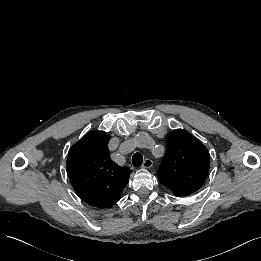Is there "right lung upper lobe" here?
Segmentation results:
<instances>
[{"mask_svg": "<svg viewBox=\"0 0 261 261\" xmlns=\"http://www.w3.org/2000/svg\"><path fill=\"white\" fill-rule=\"evenodd\" d=\"M110 136L91 131L70 149L67 170L78 195L89 205L107 208L120 200L132 172L110 159Z\"/></svg>", "mask_w": 261, "mask_h": 261, "instance_id": "obj_1", "label": "right lung upper lobe"}]
</instances>
